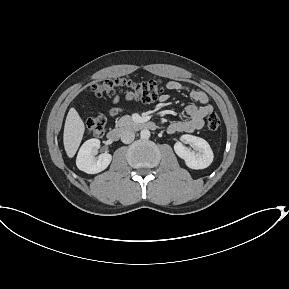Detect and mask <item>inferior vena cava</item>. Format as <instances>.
Segmentation results:
<instances>
[{
	"label": "inferior vena cava",
	"mask_w": 289,
	"mask_h": 289,
	"mask_svg": "<svg viewBox=\"0 0 289 289\" xmlns=\"http://www.w3.org/2000/svg\"><path fill=\"white\" fill-rule=\"evenodd\" d=\"M135 138V133L131 130H124L121 133V141L125 144L131 143Z\"/></svg>",
	"instance_id": "obj_1"
}]
</instances>
